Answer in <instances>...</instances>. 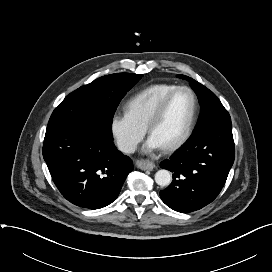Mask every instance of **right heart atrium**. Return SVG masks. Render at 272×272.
Returning <instances> with one entry per match:
<instances>
[{"mask_svg": "<svg viewBox=\"0 0 272 272\" xmlns=\"http://www.w3.org/2000/svg\"><path fill=\"white\" fill-rule=\"evenodd\" d=\"M110 131L118 148L129 154L142 141L146 128L137 124L126 112H116L111 117Z\"/></svg>", "mask_w": 272, "mask_h": 272, "instance_id": "right-heart-atrium-1", "label": "right heart atrium"}]
</instances>
